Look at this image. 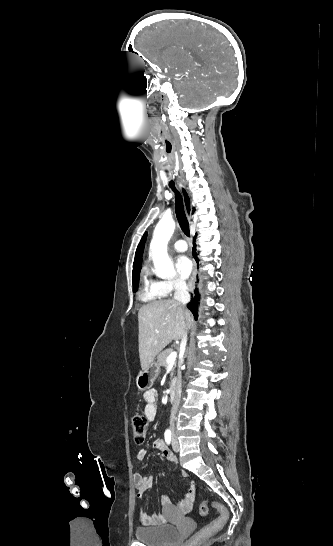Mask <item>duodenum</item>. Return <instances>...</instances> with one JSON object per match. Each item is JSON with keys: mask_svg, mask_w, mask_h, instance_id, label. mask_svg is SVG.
<instances>
[{"mask_svg": "<svg viewBox=\"0 0 333 546\" xmlns=\"http://www.w3.org/2000/svg\"><path fill=\"white\" fill-rule=\"evenodd\" d=\"M177 392V383L176 380L172 379L169 383L168 394L171 402H175Z\"/></svg>", "mask_w": 333, "mask_h": 546, "instance_id": "410a0bca", "label": "duodenum"}]
</instances>
